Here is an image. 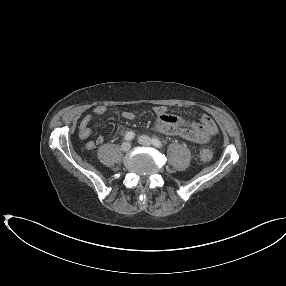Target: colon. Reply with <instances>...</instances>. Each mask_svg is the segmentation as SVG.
<instances>
[{
	"mask_svg": "<svg viewBox=\"0 0 286 286\" xmlns=\"http://www.w3.org/2000/svg\"><path fill=\"white\" fill-rule=\"evenodd\" d=\"M200 157L203 161H210L212 158V152L209 149H202L200 151Z\"/></svg>",
	"mask_w": 286,
	"mask_h": 286,
	"instance_id": "colon-1",
	"label": "colon"
}]
</instances>
